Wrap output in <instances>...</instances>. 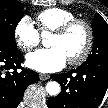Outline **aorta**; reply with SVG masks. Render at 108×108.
Wrapping results in <instances>:
<instances>
[{
  "label": "aorta",
  "instance_id": "762f6f07",
  "mask_svg": "<svg viewBox=\"0 0 108 108\" xmlns=\"http://www.w3.org/2000/svg\"><path fill=\"white\" fill-rule=\"evenodd\" d=\"M42 38H43V44L47 45V38H48V33L43 32L42 33ZM46 91L49 95L51 96H56L60 92V85L56 81H50L46 84Z\"/></svg>",
  "mask_w": 108,
  "mask_h": 108
}]
</instances>
